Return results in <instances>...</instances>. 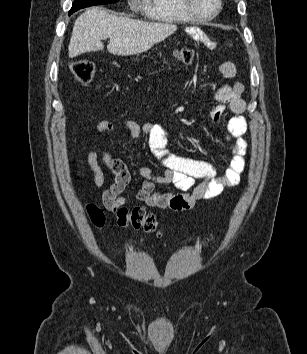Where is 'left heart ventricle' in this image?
I'll use <instances>...</instances> for the list:
<instances>
[{"label": "left heart ventricle", "mask_w": 307, "mask_h": 354, "mask_svg": "<svg viewBox=\"0 0 307 354\" xmlns=\"http://www.w3.org/2000/svg\"><path fill=\"white\" fill-rule=\"evenodd\" d=\"M192 10L200 16L211 15L217 7V0H191Z\"/></svg>", "instance_id": "1"}]
</instances>
